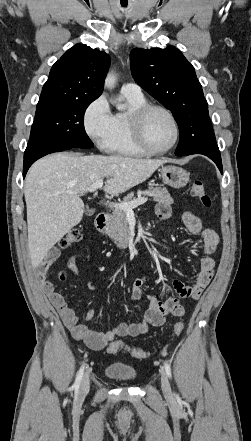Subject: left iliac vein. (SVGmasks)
Masks as SVG:
<instances>
[{"instance_id":"1","label":"left iliac vein","mask_w":251,"mask_h":441,"mask_svg":"<svg viewBox=\"0 0 251 441\" xmlns=\"http://www.w3.org/2000/svg\"><path fill=\"white\" fill-rule=\"evenodd\" d=\"M161 388H162L163 394L166 397L170 398L172 396V390H171L168 376L163 370L161 371Z\"/></svg>"}]
</instances>
